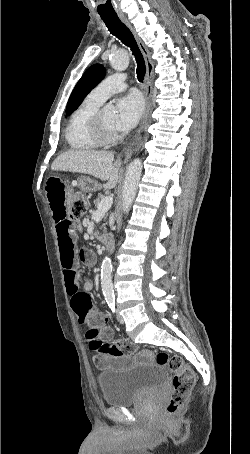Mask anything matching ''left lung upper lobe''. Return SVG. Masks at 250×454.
Instances as JSON below:
<instances>
[{"mask_svg":"<svg viewBox=\"0 0 250 454\" xmlns=\"http://www.w3.org/2000/svg\"><path fill=\"white\" fill-rule=\"evenodd\" d=\"M105 69L101 64L89 67L73 89L67 103L66 113L70 115L82 103L86 95L104 78Z\"/></svg>","mask_w":250,"mask_h":454,"instance_id":"5c2ea615","label":"left lung upper lobe"}]
</instances>
